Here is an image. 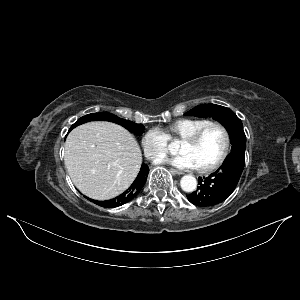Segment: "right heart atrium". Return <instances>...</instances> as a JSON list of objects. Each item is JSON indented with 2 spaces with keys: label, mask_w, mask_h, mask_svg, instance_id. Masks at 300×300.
<instances>
[{
  "label": "right heart atrium",
  "mask_w": 300,
  "mask_h": 300,
  "mask_svg": "<svg viewBox=\"0 0 300 300\" xmlns=\"http://www.w3.org/2000/svg\"><path fill=\"white\" fill-rule=\"evenodd\" d=\"M141 143L145 156L150 160H155L167 153L169 137L163 130L154 127L143 135Z\"/></svg>",
  "instance_id": "right-heart-atrium-1"
}]
</instances>
